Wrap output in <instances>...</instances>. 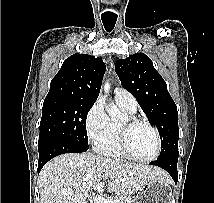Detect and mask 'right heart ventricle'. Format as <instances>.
<instances>
[{"label": "right heart ventricle", "mask_w": 214, "mask_h": 203, "mask_svg": "<svg viewBox=\"0 0 214 203\" xmlns=\"http://www.w3.org/2000/svg\"><path fill=\"white\" fill-rule=\"evenodd\" d=\"M117 102L119 106L129 114L133 115L135 113L136 110H131L119 100H117ZM119 125L120 123L112 122V128L109 136L105 140L96 145L97 151L103 154L104 156L112 158L125 157L119 145Z\"/></svg>", "instance_id": "right-heart-ventricle-1"}]
</instances>
